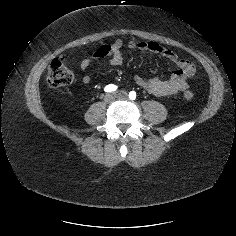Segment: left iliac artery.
Masks as SVG:
<instances>
[{
    "instance_id": "44dca946",
    "label": "left iliac artery",
    "mask_w": 236,
    "mask_h": 236,
    "mask_svg": "<svg viewBox=\"0 0 236 236\" xmlns=\"http://www.w3.org/2000/svg\"><path fill=\"white\" fill-rule=\"evenodd\" d=\"M129 98H130L131 100H135V99H136V92H135V91H131V92L129 93Z\"/></svg>"
}]
</instances>
